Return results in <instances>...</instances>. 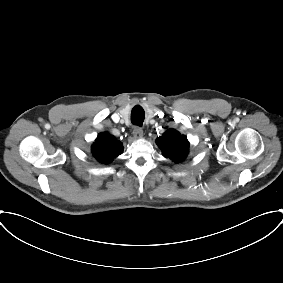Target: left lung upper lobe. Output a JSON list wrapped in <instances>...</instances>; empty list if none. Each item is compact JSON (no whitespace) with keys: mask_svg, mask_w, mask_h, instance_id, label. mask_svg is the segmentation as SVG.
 <instances>
[{"mask_svg":"<svg viewBox=\"0 0 283 283\" xmlns=\"http://www.w3.org/2000/svg\"><path fill=\"white\" fill-rule=\"evenodd\" d=\"M156 143L162 149L165 157L177 163L182 161L188 153L187 138L174 129L166 131L156 140Z\"/></svg>","mask_w":283,"mask_h":283,"instance_id":"5c2ea615","label":"left lung upper lobe"}]
</instances>
